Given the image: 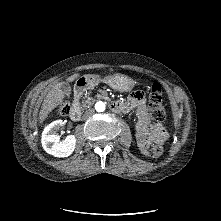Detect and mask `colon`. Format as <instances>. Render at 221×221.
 I'll return each mask as SVG.
<instances>
[{
	"mask_svg": "<svg viewBox=\"0 0 221 221\" xmlns=\"http://www.w3.org/2000/svg\"><path fill=\"white\" fill-rule=\"evenodd\" d=\"M162 86L160 83L156 82L152 84L150 89V99H149V113L152 118L156 120H164L166 118V110L163 104L162 98ZM69 112L68 103H64L60 108L61 114H67ZM163 146L160 144L153 145L148 149L147 154L152 158H159L163 154Z\"/></svg>",
	"mask_w": 221,
	"mask_h": 221,
	"instance_id": "5ec220e1",
	"label": "colon"
}]
</instances>
